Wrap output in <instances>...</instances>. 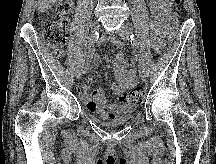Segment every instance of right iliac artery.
<instances>
[{
	"label": "right iliac artery",
	"instance_id": "obj_1",
	"mask_svg": "<svg viewBox=\"0 0 216 164\" xmlns=\"http://www.w3.org/2000/svg\"><path fill=\"white\" fill-rule=\"evenodd\" d=\"M99 38V34L95 33V35L92 38H89V40L86 43V49L81 54V57L79 58V61H77V69H82V62L86 58L87 54L90 52L91 48L94 46V43Z\"/></svg>",
	"mask_w": 216,
	"mask_h": 164
}]
</instances>
